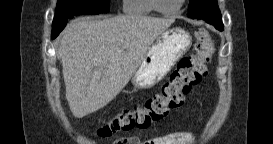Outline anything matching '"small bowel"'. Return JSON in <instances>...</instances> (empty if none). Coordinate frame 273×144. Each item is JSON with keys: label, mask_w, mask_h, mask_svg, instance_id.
I'll list each match as a JSON object with an SVG mask.
<instances>
[{"label": "small bowel", "mask_w": 273, "mask_h": 144, "mask_svg": "<svg viewBox=\"0 0 273 144\" xmlns=\"http://www.w3.org/2000/svg\"><path fill=\"white\" fill-rule=\"evenodd\" d=\"M142 137L143 133L136 131L127 137L115 140L114 144H191L194 141L193 134L187 131L167 133L148 139Z\"/></svg>", "instance_id": "obj_1"}]
</instances>
